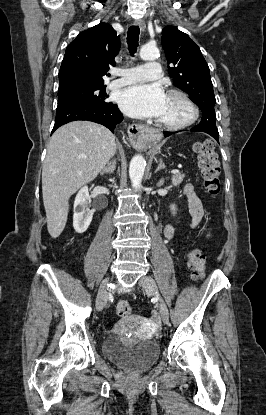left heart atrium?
<instances>
[{
    "label": "left heart atrium",
    "mask_w": 266,
    "mask_h": 415,
    "mask_svg": "<svg viewBox=\"0 0 266 415\" xmlns=\"http://www.w3.org/2000/svg\"><path fill=\"white\" fill-rule=\"evenodd\" d=\"M167 96L158 84H140L125 89L120 97L122 111L133 118H158Z\"/></svg>",
    "instance_id": "39dd6f15"
}]
</instances>
